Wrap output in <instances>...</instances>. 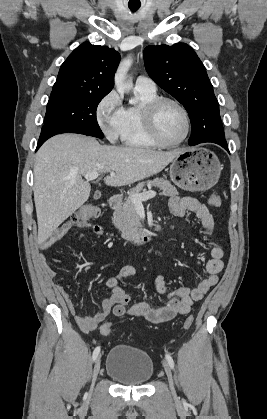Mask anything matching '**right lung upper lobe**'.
<instances>
[{
	"label": "right lung upper lobe",
	"instance_id": "right-lung-upper-lobe-1",
	"mask_svg": "<svg viewBox=\"0 0 267 419\" xmlns=\"http://www.w3.org/2000/svg\"><path fill=\"white\" fill-rule=\"evenodd\" d=\"M119 62L114 49L84 42L61 65L51 94H108Z\"/></svg>",
	"mask_w": 267,
	"mask_h": 419
}]
</instances>
